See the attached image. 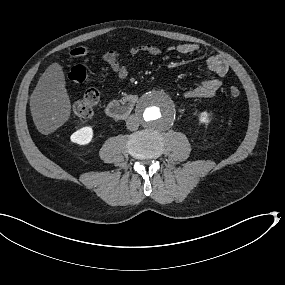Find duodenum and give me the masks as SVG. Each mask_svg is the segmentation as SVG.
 Returning <instances> with one entry per match:
<instances>
[{
	"label": "duodenum",
	"instance_id": "410a0bca",
	"mask_svg": "<svg viewBox=\"0 0 285 285\" xmlns=\"http://www.w3.org/2000/svg\"><path fill=\"white\" fill-rule=\"evenodd\" d=\"M137 97L135 95H128L120 100L111 101L105 109L106 114L117 120L127 118L133 111Z\"/></svg>",
	"mask_w": 285,
	"mask_h": 285
}]
</instances>
